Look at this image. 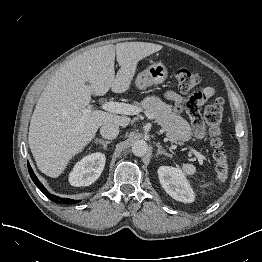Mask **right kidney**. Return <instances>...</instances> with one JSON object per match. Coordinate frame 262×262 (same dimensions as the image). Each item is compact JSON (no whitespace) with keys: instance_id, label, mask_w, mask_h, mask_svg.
<instances>
[{"instance_id":"1","label":"right kidney","mask_w":262,"mask_h":262,"mask_svg":"<svg viewBox=\"0 0 262 262\" xmlns=\"http://www.w3.org/2000/svg\"><path fill=\"white\" fill-rule=\"evenodd\" d=\"M105 155L100 152L85 156L76 163L69 175V182L72 186H89L101 175L105 166Z\"/></svg>"}]
</instances>
